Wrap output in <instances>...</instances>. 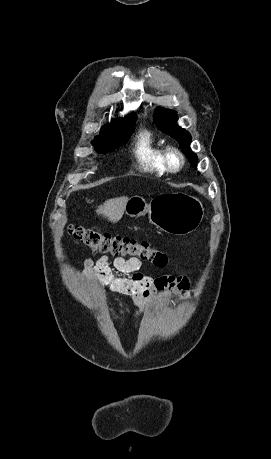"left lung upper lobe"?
I'll return each mask as SVG.
<instances>
[{"label":"left lung upper lobe","instance_id":"5c2ea615","mask_svg":"<svg viewBox=\"0 0 271 459\" xmlns=\"http://www.w3.org/2000/svg\"><path fill=\"white\" fill-rule=\"evenodd\" d=\"M154 122L163 132L169 134L172 138L176 139L192 167H196L197 156L190 149L191 135L185 129L176 124L177 114L174 111L166 110L164 108H156L154 112Z\"/></svg>","mask_w":271,"mask_h":459}]
</instances>
